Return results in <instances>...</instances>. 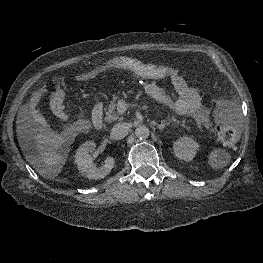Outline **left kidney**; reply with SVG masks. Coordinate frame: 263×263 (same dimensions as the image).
I'll list each match as a JSON object with an SVG mask.
<instances>
[{
    "label": "left kidney",
    "mask_w": 263,
    "mask_h": 263,
    "mask_svg": "<svg viewBox=\"0 0 263 263\" xmlns=\"http://www.w3.org/2000/svg\"><path fill=\"white\" fill-rule=\"evenodd\" d=\"M199 149V144L189 137H182L173 144V150L177 158L185 161H191L196 151Z\"/></svg>",
    "instance_id": "obj_1"
}]
</instances>
